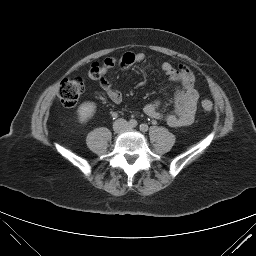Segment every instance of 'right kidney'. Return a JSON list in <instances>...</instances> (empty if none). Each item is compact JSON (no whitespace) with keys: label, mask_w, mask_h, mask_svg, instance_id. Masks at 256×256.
Instances as JSON below:
<instances>
[{"label":"right kidney","mask_w":256,"mask_h":256,"mask_svg":"<svg viewBox=\"0 0 256 256\" xmlns=\"http://www.w3.org/2000/svg\"><path fill=\"white\" fill-rule=\"evenodd\" d=\"M96 111V104L94 102H83L77 109L78 120L80 123H86L91 119Z\"/></svg>","instance_id":"ca27d5eb"}]
</instances>
